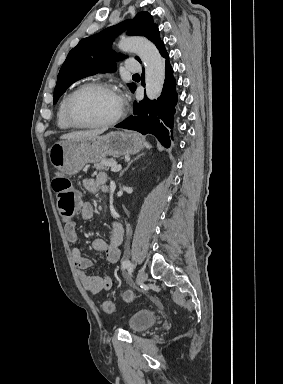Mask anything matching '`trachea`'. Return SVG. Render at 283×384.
<instances>
[{"label": "trachea", "mask_w": 283, "mask_h": 384, "mask_svg": "<svg viewBox=\"0 0 283 384\" xmlns=\"http://www.w3.org/2000/svg\"><path fill=\"white\" fill-rule=\"evenodd\" d=\"M134 76H139V74H138V73H135Z\"/></svg>", "instance_id": "3493384b"}]
</instances>
